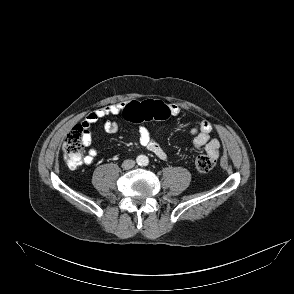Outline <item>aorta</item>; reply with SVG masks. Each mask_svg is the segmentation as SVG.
I'll return each instance as SVG.
<instances>
[{
    "instance_id": "obj_1",
    "label": "aorta",
    "mask_w": 294,
    "mask_h": 294,
    "mask_svg": "<svg viewBox=\"0 0 294 294\" xmlns=\"http://www.w3.org/2000/svg\"><path fill=\"white\" fill-rule=\"evenodd\" d=\"M137 162L140 165H145L148 162V158L145 155H139L137 157Z\"/></svg>"
}]
</instances>
